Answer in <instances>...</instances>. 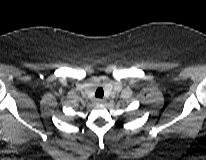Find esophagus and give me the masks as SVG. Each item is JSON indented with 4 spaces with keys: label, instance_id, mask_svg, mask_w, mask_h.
<instances>
[{
    "label": "esophagus",
    "instance_id": "34e87169",
    "mask_svg": "<svg viewBox=\"0 0 206 160\" xmlns=\"http://www.w3.org/2000/svg\"><path fill=\"white\" fill-rule=\"evenodd\" d=\"M95 102L97 104H101V103H104V99L98 98V99L95 100Z\"/></svg>",
    "mask_w": 206,
    "mask_h": 160
}]
</instances>
